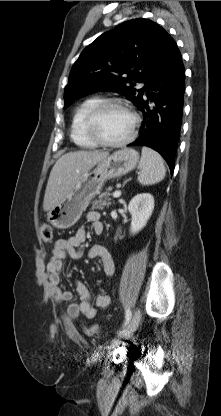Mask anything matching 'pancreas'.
Instances as JSON below:
<instances>
[{"mask_svg": "<svg viewBox=\"0 0 221 416\" xmlns=\"http://www.w3.org/2000/svg\"><path fill=\"white\" fill-rule=\"evenodd\" d=\"M110 193L104 192L99 196L98 199L92 202V209L102 210L105 206L109 207L111 205V199L109 198Z\"/></svg>", "mask_w": 221, "mask_h": 416, "instance_id": "cf45deb5", "label": "pancreas"}]
</instances>
